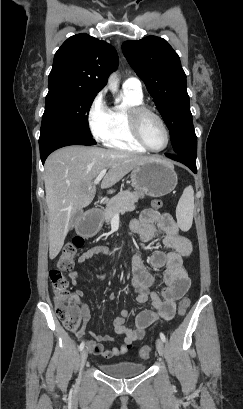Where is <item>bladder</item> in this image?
I'll list each match as a JSON object with an SVG mask.
<instances>
[{"label":"bladder","instance_id":"31cf9c89","mask_svg":"<svg viewBox=\"0 0 243 409\" xmlns=\"http://www.w3.org/2000/svg\"><path fill=\"white\" fill-rule=\"evenodd\" d=\"M99 368L107 376L125 379L142 374L146 369V365L131 360H123L119 362L100 363Z\"/></svg>","mask_w":243,"mask_h":409}]
</instances>
